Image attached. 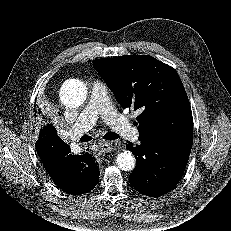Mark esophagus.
<instances>
[{
  "label": "esophagus",
  "mask_w": 231,
  "mask_h": 231,
  "mask_svg": "<svg viewBox=\"0 0 231 231\" xmlns=\"http://www.w3.org/2000/svg\"><path fill=\"white\" fill-rule=\"evenodd\" d=\"M115 145L116 143L113 141H103L100 144V150L104 153L111 152L114 149Z\"/></svg>",
  "instance_id": "obj_1"
}]
</instances>
